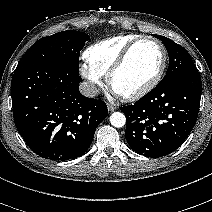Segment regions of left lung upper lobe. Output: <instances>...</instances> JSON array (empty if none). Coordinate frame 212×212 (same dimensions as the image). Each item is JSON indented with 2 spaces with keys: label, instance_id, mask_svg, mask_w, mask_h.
<instances>
[{
  "label": "left lung upper lobe",
  "instance_id": "1",
  "mask_svg": "<svg viewBox=\"0 0 212 212\" xmlns=\"http://www.w3.org/2000/svg\"><path fill=\"white\" fill-rule=\"evenodd\" d=\"M153 36L162 40L169 55L167 73L158 85L166 84L180 75L197 70L189 53L184 47L164 36Z\"/></svg>",
  "mask_w": 212,
  "mask_h": 212
}]
</instances>
